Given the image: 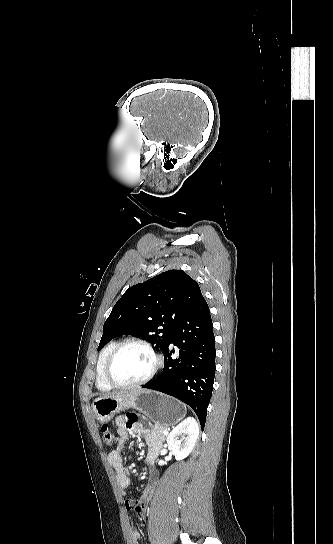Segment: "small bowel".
<instances>
[{
  "mask_svg": "<svg viewBox=\"0 0 333 544\" xmlns=\"http://www.w3.org/2000/svg\"><path fill=\"white\" fill-rule=\"evenodd\" d=\"M118 426L117 436L115 439V449L108 454V460L115 470L117 483L121 490H126L130 486L129 471L124 467L122 460V451L129 435L139 436L143 435L145 443L149 447L146 462L153 464L159 452V443L155 436L138 420L137 417L132 416H119L116 419ZM158 472L156 469H151L148 476V483L144 488L141 497L138 501L134 502L131 499L125 500V507L127 510L135 508L138 519L144 523L146 518L147 504L150 500L154 486L157 483ZM130 538L132 544H139L140 534L131 527Z\"/></svg>",
  "mask_w": 333,
  "mask_h": 544,
  "instance_id": "small-bowel-1",
  "label": "small bowel"
}]
</instances>
